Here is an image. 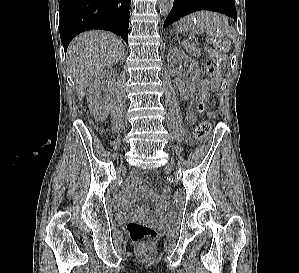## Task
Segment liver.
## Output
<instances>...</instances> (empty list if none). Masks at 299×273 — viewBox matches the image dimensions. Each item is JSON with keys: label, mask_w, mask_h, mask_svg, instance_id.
<instances>
[{"label": "liver", "mask_w": 299, "mask_h": 273, "mask_svg": "<svg viewBox=\"0 0 299 273\" xmlns=\"http://www.w3.org/2000/svg\"><path fill=\"white\" fill-rule=\"evenodd\" d=\"M123 52L122 40L105 31L82 33L70 43L66 56L67 66L73 75L80 101L92 77L116 64Z\"/></svg>", "instance_id": "obj_1"}]
</instances>
